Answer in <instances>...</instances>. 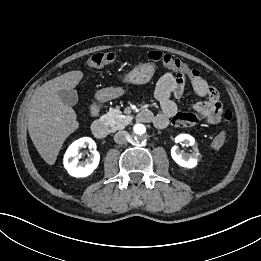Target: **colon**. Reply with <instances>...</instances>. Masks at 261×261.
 Returning a JSON list of instances; mask_svg holds the SVG:
<instances>
[{"instance_id": "obj_1", "label": "colon", "mask_w": 261, "mask_h": 261, "mask_svg": "<svg viewBox=\"0 0 261 261\" xmlns=\"http://www.w3.org/2000/svg\"><path fill=\"white\" fill-rule=\"evenodd\" d=\"M149 60L153 62H159L165 65L166 67L175 70L176 72L188 76L190 78H194L199 76V72L191 68L184 61L179 58L173 57L170 54H164L159 51H150L147 54ZM117 55L113 52H97L90 55L86 60V65L90 68H99L104 65L113 63L116 61ZM232 118V114L230 111H226L224 113V119L226 121H230ZM227 134L226 131L219 132L212 140V146L215 149H221L226 143Z\"/></svg>"}]
</instances>
